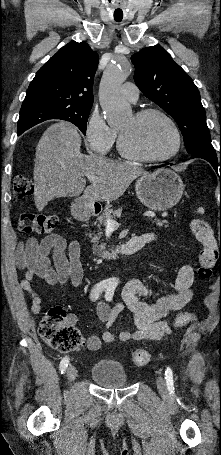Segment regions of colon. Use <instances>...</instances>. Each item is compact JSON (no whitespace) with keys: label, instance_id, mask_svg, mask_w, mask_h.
<instances>
[{"label":"colon","instance_id":"obj_1","mask_svg":"<svg viewBox=\"0 0 221 455\" xmlns=\"http://www.w3.org/2000/svg\"><path fill=\"white\" fill-rule=\"evenodd\" d=\"M34 191L32 181L25 176H17L13 182V198L16 201L26 199ZM58 224V217L49 213H21L18 227L24 233L48 234ZM190 227L202 248L199 253L198 276L201 280L211 278L216 261L221 257V243L218 244L207 222L200 218H194ZM193 320V314L188 311L180 312L175 323L183 326ZM41 338L51 348L61 351H73L83 344V338L79 330L67 317L66 310L61 306L49 309L43 316L39 325ZM150 355L145 350H137L132 353L131 361L136 366H144L149 362Z\"/></svg>","mask_w":221,"mask_h":455}]
</instances>
